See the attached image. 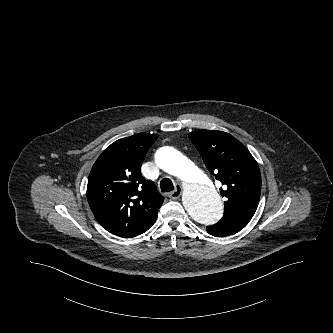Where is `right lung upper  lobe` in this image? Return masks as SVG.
<instances>
[{"mask_svg": "<svg viewBox=\"0 0 333 333\" xmlns=\"http://www.w3.org/2000/svg\"><path fill=\"white\" fill-rule=\"evenodd\" d=\"M158 136L141 133L119 139L92 167L87 185L89 206L101 226L117 236L140 235L157 219L164 199L140 169Z\"/></svg>", "mask_w": 333, "mask_h": 333, "instance_id": "cb5924a9", "label": "right lung upper lobe"}]
</instances>
